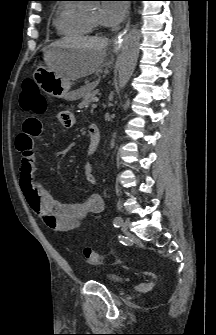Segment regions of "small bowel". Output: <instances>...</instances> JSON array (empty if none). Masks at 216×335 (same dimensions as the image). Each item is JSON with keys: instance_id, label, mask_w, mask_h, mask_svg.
I'll return each mask as SVG.
<instances>
[{"instance_id": "obj_1", "label": "small bowel", "mask_w": 216, "mask_h": 335, "mask_svg": "<svg viewBox=\"0 0 216 335\" xmlns=\"http://www.w3.org/2000/svg\"><path fill=\"white\" fill-rule=\"evenodd\" d=\"M59 122L70 127L73 115L68 110L60 111ZM44 126L43 120L36 118L27 119L23 132L17 137V148L21 153L20 187L30 209L50 229L58 232H70L81 226L83 221L91 214L103 210V201L97 194H91L86 199L77 203H64L56 200L44 186L35 179V154L34 142ZM99 141L89 139L88 152L94 153ZM85 180L88 184L96 183L91 166H86Z\"/></svg>"}]
</instances>
